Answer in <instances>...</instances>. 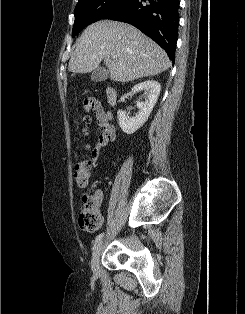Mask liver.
Here are the masks:
<instances>
[{
	"mask_svg": "<svg viewBox=\"0 0 245 314\" xmlns=\"http://www.w3.org/2000/svg\"><path fill=\"white\" fill-rule=\"evenodd\" d=\"M102 60L110 79L123 83L158 75L171 65L166 52L152 39L132 25L111 20L98 21L84 30L68 68L72 76L89 73Z\"/></svg>",
	"mask_w": 245,
	"mask_h": 314,
	"instance_id": "6515ba94",
	"label": "liver"
}]
</instances>
